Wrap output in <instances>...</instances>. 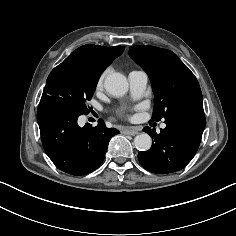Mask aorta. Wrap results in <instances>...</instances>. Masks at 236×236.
Returning <instances> with one entry per match:
<instances>
[{"label": "aorta", "mask_w": 236, "mask_h": 236, "mask_svg": "<svg viewBox=\"0 0 236 236\" xmlns=\"http://www.w3.org/2000/svg\"><path fill=\"white\" fill-rule=\"evenodd\" d=\"M104 86L106 91L115 97L123 96L128 91L127 78L119 72L108 74ZM134 145L139 151H147L151 148L152 139L147 133H141L134 138Z\"/></svg>", "instance_id": "obj_1"}]
</instances>
